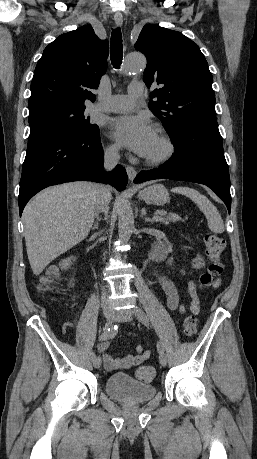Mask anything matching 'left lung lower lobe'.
Listing matches in <instances>:
<instances>
[{"label": "left lung lower lobe", "mask_w": 257, "mask_h": 459, "mask_svg": "<svg viewBox=\"0 0 257 459\" xmlns=\"http://www.w3.org/2000/svg\"><path fill=\"white\" fill-rule=\"evenodd\" d=\"M171 140L175 147L173 157L159 168L140 172L134 183L164 178L205 184L223 200L230 213L229 170L216 119L188 122Z\"/></svg>", "instance_id": "left-lung-lower-lobe-1"}]
</instances>
